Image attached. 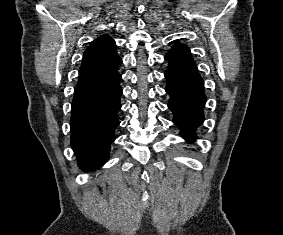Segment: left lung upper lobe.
I'll return each mask as SVG.
<instances>
[{
	"instance_id": "obj_1",
	"label": "left lung upper lobe",
	"mask_w": 283,
	"mask_h": 235,
	"mask_svg": "<svg viewBox=\"0 0 283 235\" xmlns=\"http://www.w3.org/2000/svg\"><path fill=\"white\" fill-rule=\"evenodd\" d=\"M165 59L170 62L195 64L189 49L180 43L175 44L171 48L169 53L165 56Z\"/></svg>"
}]
</instances>
